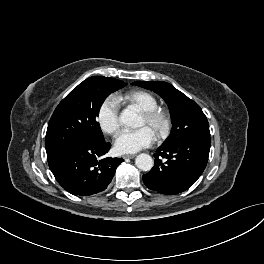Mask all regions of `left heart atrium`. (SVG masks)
<instances>
[{
  "label": "left heart atrium",
  "instance_id": "39dd6f15",
  "mask_svg": "<svg viewBox=\"0 0 264 264\" xmlns=\"http://www.w3.org/2000/svg\"><path fill=\"white\" fill-rule=\"evenodd\" d=\"M155 135L148 127L123 130L115 139L114 148L119 154H133L151 146Z\"/></svg>",
  "mask_w": 264,
  "mask_h": 264
}]
</instances>
